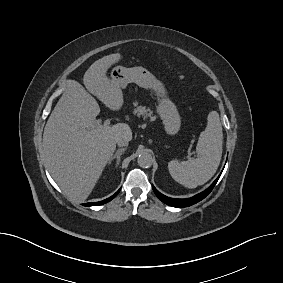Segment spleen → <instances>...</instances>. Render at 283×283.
<instances>
[{
	"label": "spleen",
	"instance_id": "1",
	"mask_svg": "<svg viewBox=\"0 0 283 283\" xmlns=\"http://www.w3.org/2000/svg\"><path fill=\"white\" fill-rule=\"evenodd\" d=\"M223 132L219 114L211 111L207 126L201 132L196 146L198 157L194 160L168 163L171 177L187 188L205 184L216 173L222 157Z\"/></svg>",
	"mask_w": 283,
	"mask_h": 283
}]
</instances>
